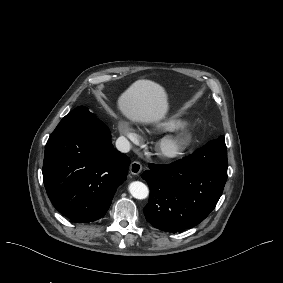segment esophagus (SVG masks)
<instances>
[{
  "label": "esophagus",
  "instance_id": "esophagus-1",
  "mask_svg": "<svg viewBox=\"0 0 283 283\" xmlns=\"http://www.w3.org/2000/svg\"><path fill=\"white\" fill-rule=\"evenodd\" d=\"M129 169L133 175H138L142 171V165L140 162L134 161L130 164Z\"/></svg>",
  "mask_w": 283,
  "mask_h": 283
}]
</instances>
